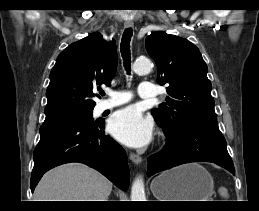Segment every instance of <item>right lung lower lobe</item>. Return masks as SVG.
<instances>
[{"instance_id": "right-lung-lower-lobe-1", "label": "right lung lower lobe", "mask_w": 259, "mask_h": 211, "mask_svg": "<svg viewBox=\"0 0 259 211\" xmlns=\"http://www.w3.org/2000/svg\"><path fill=\"white\" fill-rule=\"evenodd\" d=\"M104 122L62 119L43 123L34 150L31 174L33 192L49 169L68 162L84 163L105 175L120 189L129 185V168L124 149L104 133Z\"/></svg>"}]
</instances>
